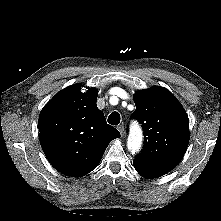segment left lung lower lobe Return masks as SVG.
I'll return each mask as SVG.
<instances>
[{
    "mask_svg": "<svg viewBox=\"0 0 221 221\" xmlns=\"http://www.w3.org/2000/svg\"><path fill=\"white\" fill-rule=\"evenodd\" d=\"M134 168L136 169V171L143 176L144 178L150 179V178H157L162 176L163 174L160 172H156L150 169H146L138 164L133 163Z\"/></svg>",
    "mask_w": 221,
    "mask_h": 221,
    "instance_id": "1",
    "label": "left lung lower lobe"
}]
</instances>
